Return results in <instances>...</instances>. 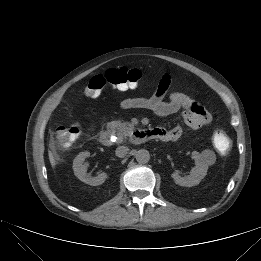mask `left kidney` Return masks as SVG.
I'll list each match as a JSON object with an SVG mask.
<instances>
[{
	"label": "left kidney",
	"instance_id": "left-kidney-1",
	"mask_svg": "<svg viewBox=\"0 0 261 261\" xmlns=\"http://www.w3.org/2000/svg\"><path fill=\"white\" fill-rule=\"evenodd\" d=\"M191 158L195 160L196 166L192 169L190 176L182 177L178 172H174L171 175L174 182L180 186L192 187L198 185L207 175L208 166L203 162L201 154L197 151H193Z\"/></svg>",
	"mask_w": 261,
	"mask_h": 261
}]
</instances>
